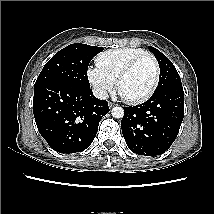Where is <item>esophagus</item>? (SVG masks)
<instances>
[{"mask_svg":"<svg viewBox=\"0 0 214 214\" xmlns=\"http://www.w3.org/2000/svg\"><path fill=\"white\" fill-rule=\"evenodd\" d=\"M108 105H109V107H110V108H112L113 106H115V104H114V103H112V102H109V104H108Z\"/></svg>","mask_w":214,"mask_h":214,"instance_id":"esophagus-1","label":"esophagus"}]
</instances>
